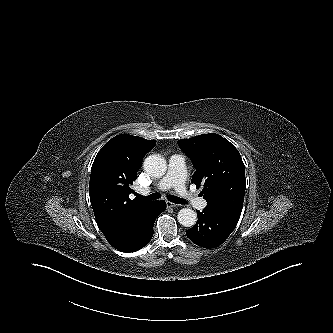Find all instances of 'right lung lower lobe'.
<instances>
[{
	"label": "right lung lower lobe",
	"instance_id": "right-lung-lower-lobe-1",
	"mask_svg": "<svg viewBox=\"0 0 333 333\" xmlns=\"http://www.w3.org/2000/svg\"><path fill=\"white\" fill-rule=\"evenodd\" d=\"M165 209L166 203L163 200L155 201L150 214L137 223L127 241L117 249L121 252L130 253L146 246L153 236V225L156 218Z\"/></svg>",
	"mask_w": 333,
	"mask_h": 333
}]
</instances>
